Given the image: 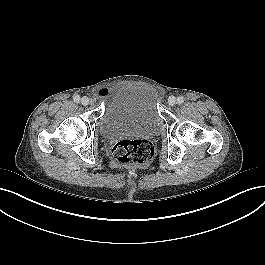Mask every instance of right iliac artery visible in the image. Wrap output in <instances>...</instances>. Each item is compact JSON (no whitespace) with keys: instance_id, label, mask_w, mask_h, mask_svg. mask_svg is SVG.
I'll return each instance as SVG.
<instances>
[{"instance_id":"obj_1","label":"right iliac artery","mask_w":265,"mask_h":265,"mask_svg":"<svg viewBox=\"0 0 265 265\" xmlns=\"http://www.w3.org/2000/svg\"><path fill=\"white\" fill-rule=\"evenodd\" d=\"M73 100L75 103H79L80 102V96L79 95H74Z\"/></svg>"}]
</instances>
